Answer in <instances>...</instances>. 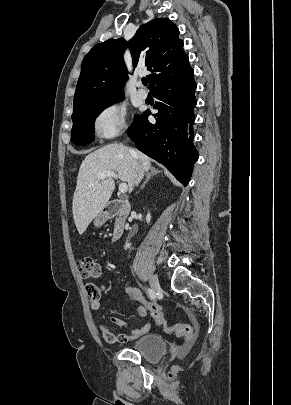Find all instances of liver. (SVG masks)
<instances>
[{"instance_id":"1","label":"liver","mask_w":291,"mask_h":405,"mask_svg":"<svg viewBox=\"0 0 291 405\" xmlns=\"http://www.w3.org/2000/svg\"><path fill=\"white\" fill-rule=\"evenodd\" d=\"M136 162L142 167L143 173L151 168L148 156L117 143L103 146L85 157L77 176L72 203L73 218L80 235L106 206L115 189L111 177L100 181L97 174L116 172L120 180L128 183L129 192H132Z\"/></svg>"}]
</instances>
